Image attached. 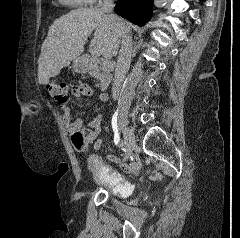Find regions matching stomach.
<instances>
[{
    "label": "stomach",
    "mask_w": 240,
    "mask_h": 238,
    "mask_svg": "<svg viewBox=\"0 0 240 238\" xmlns=\"http://www.w3.org/2000/svg\"><path fill=\"white\" fill-rule=\"evenodd\" d=\"M73 68L78 73H84L88 70V64L85 63L81 58L74 59Z\"/></svg>",
    "instance_id": "0dacf381"
}]
</instances>
